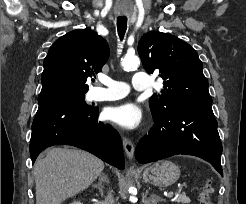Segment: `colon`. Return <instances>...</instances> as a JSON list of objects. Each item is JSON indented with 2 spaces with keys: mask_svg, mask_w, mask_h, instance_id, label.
Wrapping results in <instances>:
<instances>
[{
  "mask_svg": "<svg viewBox=\"0 0 246 204\" xmlns=\"http://www.w3.org/2000/svg\"><path fill=\"white\" fill-rule=\"evenodd\" d=\"M212 192H213V187L211 182L206 181L199 195L200 204H211L210 196Z\"/></svg>",
  "mask_w": 246,
  "mask_h": 204,
  "instance_id": "5ec220e1",
  "label": "colon"
}]
</instances>
